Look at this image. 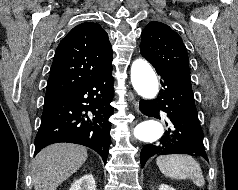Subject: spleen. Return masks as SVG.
Instances as JSON below:
<instances>
[{
    "instance_id": "spleen-1",
    "label": "spleen",
    "mask_w": 238,
    "mask_h": 190,
    "mask_svg": "<svg viewBox=\"0 0 238 190\" xmlns=\"http://www.w3.org/2000/svg\"><path fill=\"white\" fill-rule=\"evenodd\" d=\"M162 174L173 179H191L198 187L204 186V177L199 163L189 155L159 156L156 160Z\"/></svg>"
}]
</instances>
